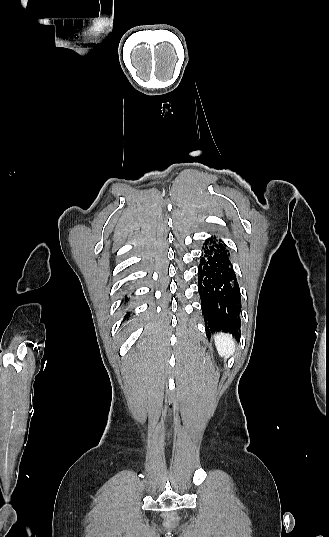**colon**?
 Instances as JSON below:
<instances>
[{"instance_id":"5ec220e1","label":"colon","mask_w":329,"mask_h":537,"mask_svg":"<svg viewBox=\"0 0 329 537\" xmlns=\"http://www.w3.org/2000/svg\"><path fill=\"white\" fill-rule=\"evenodd\" d=\"M161 516L167 520V525L172 527L175 525V519L179 517V512L175 509H165L162 511Z\"/></svg>"}]
</instances>
